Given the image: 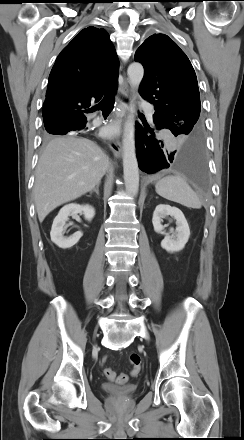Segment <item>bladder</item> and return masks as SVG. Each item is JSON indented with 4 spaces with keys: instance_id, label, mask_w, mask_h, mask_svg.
I'll return each instance as SVG.
<instances>
[{
    "instance_id": "obj_1",
    "label": "bladder",
    "mask_w": 244,
    "mask_h": 440,
    "mask_svg": "<svg viewBox=\"0 0 244 440\" xmlns=\"http://www.w3.org/2000/svg\"><path fill=\"white\" fill-rule=\"evenodd\" d=\"M102 391L111 397L117 399H128L135 395L137 388L135 386H116L114 384L104 383L101 385Z\"/></svg>"
}]
</instances>
